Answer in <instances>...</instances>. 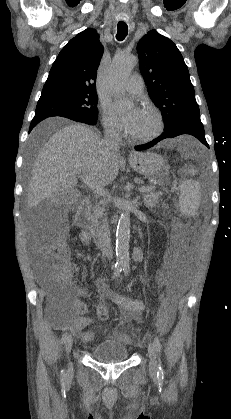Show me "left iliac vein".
Returning <instances> with one entry per match:
<instances>
[{
	"label": "left iliac vein",
	"instance_id": "obj_1",
	"mask_svg": "<svg viewBox=\"0 0 231 419\" xmlns=\"http://www.w3.org/2000/svg\"><path fill=\"white\" fill-rule=\"evenodd\" d=\"M148 354L150 358L149 371L151 375H155L157 372L158 365H157V352H156L155 345L153 343H150L148 345Z\"/></svg>",
	"mask_w": 231,
	"mask_h": 419
}]
</instances>
